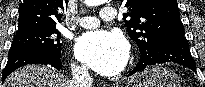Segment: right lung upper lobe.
<instances>
[{"label": "right lung upper lobe", "instance_id": "obj_1", "mask_svg": "<svg viewBox=\"0 0 205 87\" xmlns=\"http://www.w3.org/2000/svg\"><path fill=\"white\" fill-rule=\"evenodd\" d=\"M68 0H23L19 5L18 31L55 28Z\"/></svg>", "mask_w": 205, "mask_h": 87}]
</instances>
